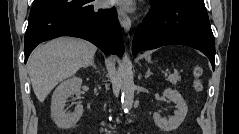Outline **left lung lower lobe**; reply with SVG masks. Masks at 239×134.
<instances>
[{"instance_id":"1","label":"left lung lower lobe","mask_w":239,"mask_h":134,"mask_svg":"<svg viewBox=\"0 0 239 134\" xmlns=\"http://www.w3.org/2000/svg\"><path fill=\"white\" fill-rule=\"evenodd\" d=\"M152 9L147 19L138 26L132 53L179 44L203 52L215 69V40L204 0L150 1Z\"/></svg>"}]
</instances>
